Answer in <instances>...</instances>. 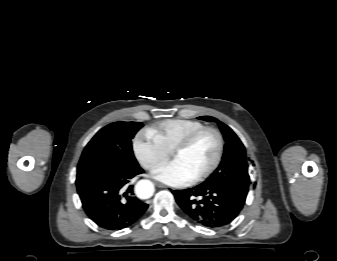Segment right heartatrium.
I'll use <instances>...</instances> for the list:
<instances>
[{"label":"right heart atrium","mask_w":337,"mask_h":261,"mask_svg":"<svg viewBox=\"0 0 337 261\" xmlns=\"http://www.w3.org/2000/svg\"><path fill=\"white\" fill-rule=\"evenodd\" d=\"M133 150L140 164L148 170L164 163L170 155L149 131H140L136 135Z\"/></svg>","instance_id":"obj_1"}]
</instances>
